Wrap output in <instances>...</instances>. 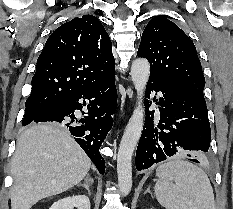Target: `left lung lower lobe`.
I'll return each instance as SVG.
<instances>
[{
    "label": "left lung lower lobe",
    "mask_w": 233,
    "mask_h": 209,
    "mask_svg": "<svg viewBox=\"0 0 233 209\" xmlns=\"http://www.w3.org/2000/svg\"><path fill=\"white\" fill-rule=\"evenodd\" d=\"M152 91L161 92L156 100L160 105V120L158 124L153 123L154 111L146 115L136 152L137 170L147 169L171 156L183 155L184 150L208 152L211 129L206 103L183 87L156 75H150L148 80L147 98ZM149 106L146 101L147 110Z\"/></svg>",
    "instance_id": "1"
}]
</instances>
